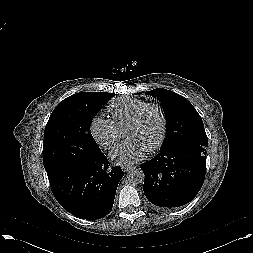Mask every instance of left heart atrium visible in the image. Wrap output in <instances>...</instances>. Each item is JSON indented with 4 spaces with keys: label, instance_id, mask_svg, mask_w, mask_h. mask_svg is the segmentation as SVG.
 Returning <instances> with one entry per match:
<instances>
[{
    "label": "left heart atrium",
    "instance_id": "1",
    "mask_svg": "<svg viewBox=\"0 0 253 253\" xmlns=\"http://www.w3.org/2000/svg\"><path fill=\"white\" fill-rule=\"evenodd\" d=\"M147 150L134 139H128L111 154V159L116 164L131 165L140 160Z\"/></svg>",
    "mask_w": 253,
    "mask_h": 253
}]
</instances>
